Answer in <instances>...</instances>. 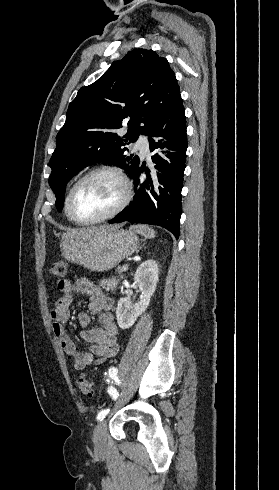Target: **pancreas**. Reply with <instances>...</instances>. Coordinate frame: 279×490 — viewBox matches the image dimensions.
<instances>
[{
  "instance_id": "cf45deb5",
  "label": "pancreas",
  "mask_w": 279,
  "mask_h": 490,
  "mask_svg": "<svg viewBox=\"0 0 279 490\" xmlns=\"http://www.w3.org/2000/svg\"><path fill=\"white\" fill-rule=\"evenodd\" d=\"M117 272L119 274V278H111V280H101L100 286H102V288H105V290H116L117 284L122 278V276H120L122 268L121 270L120 268H118Z\"/></svg>"
}]
</instances>
